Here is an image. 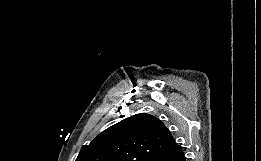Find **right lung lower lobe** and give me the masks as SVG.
<instances>
[{"label":"right lung lower lobe","instance_id":"1","mask_svg":"<svg viewBox=\"0 0 261 161\" xmlns=\"http://www.w3.org/2000/svg\"><path fill=\"white\" fill-rule=\"evenodd\" d=\"M156 161H186L185 155L182 151V149L167 155L165 157L160 158L159 160Z\"/></svg>","mask_w":261,"mask_h":161}]
</instances>
